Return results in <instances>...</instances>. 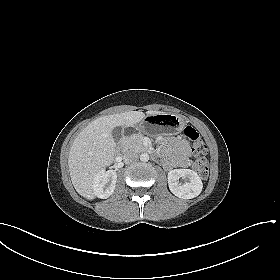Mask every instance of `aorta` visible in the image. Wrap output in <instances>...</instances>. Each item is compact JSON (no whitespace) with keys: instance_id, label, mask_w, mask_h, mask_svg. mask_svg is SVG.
I'll list each match as a JSON object with an SVG mask.
<instances>
[{"instance_id":"762f6f07","label":"aorta","mask_w":280,"mask_h":280,"mask_svg":"<svg viewBox=\"0 0 280 280\" xmlns=\"http://www.w3.org/2000/svg\"><path fill=\"white\" fill-rule=\"evenodd\" d=\"M140 160H141L142 162H148V160H149V155H148L147 153H142V154L140 155Z\"/></svg>"}]
</instances>
